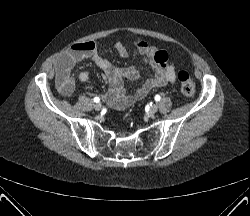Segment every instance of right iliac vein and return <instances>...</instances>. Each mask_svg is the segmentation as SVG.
Instances as JSON below:
<instances>
[{
  "label": "right iliac vein",
  "instance_id": "right-iliac-vein-1",
  "mask_svg": "<svg viewBox=\"0 0 250 216\" xmlns=\"http://www.w3.org/2000/svg\"><path fill=\"white\" fill-rule=\"evenodd\" d=\"M101 108H102V104L101 103H96L94 105V109L97 110V111L101 110Z\"/></svg>",
  "mask_w": 250,
  "mask_h": 216
}]
</instances>
